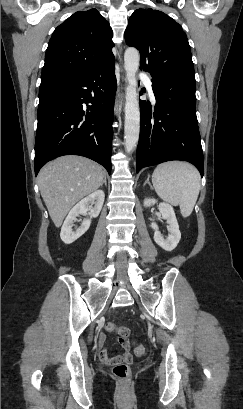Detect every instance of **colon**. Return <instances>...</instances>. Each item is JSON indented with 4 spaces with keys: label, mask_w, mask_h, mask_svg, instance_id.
<instances>
[{
    "label": "colon",
    "mask_w": 243,
    "mask_h": 409,
    "mask_svg": "<svg viewBox=\"0 0 243 409\" xmlns=\"http://www.w3.org/2000/svg\"><path fill=\"white\" fill-rule=\"evenodd\" d=\"M110 332H115L120 341L127 340L131 334L130 329L126 327H118L114 323L109 322L106 326ZM146 349L142 344H135V353L137 355L145 354ZM113 375L124 385H128L131 378V369L127 363H120L114 366Z\"/></svg>",
    "instance_id": "colon-1"
}]
</instances>
